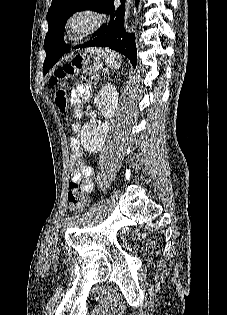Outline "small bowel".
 Returning <instances> with one entry per match:
<instances>
[{
    "label": "small bowel",
    "instance_id": "obj_1",
    "mask_svg": "<svg viewBox=\"0 0 227 315\" xmlns=\"http://www.w3.org/2000/svg\"><path fill=\"white\" fill-rule=\"evenodd\" d=\"M88 96L89 89L85 84H78L73 90L71 94V103L77 117L80 115L81 102L87 99ZM72 129L74 132H78L80 129L79 124L75 122ZM69 148L72 152L69 159L71 181L80 183L84 192L91 193L94 190L95 170L93 166L85 162L80 147V141L77 137H72L69 140Z\"/></svg>",
    "mask_w": 227,
    "mask_h": 315
}]
</instances>
